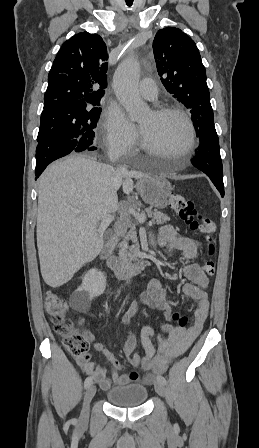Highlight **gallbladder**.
<instances>
[{
  "label": "gallbladder",
  "instance_id": "1",
  "mask_svg": "<svg viewBox=\"0 0 259 448\" xmlns=\"http://www.w3.org/2000/svg\"><path fill=\"white\" fill-rule=\"evenodd\" d=\"M109 234H106L105 238H108Z\"/></svg>",
  "mask_w": 259,
  "mask_h": 448
}]
</instances>
